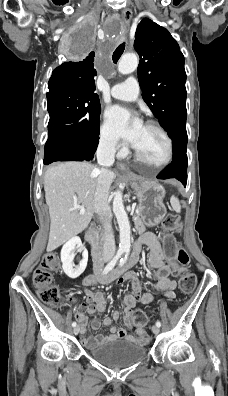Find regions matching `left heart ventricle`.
<instances>
[{"mask_svg": "<svg viewBox=\"0 0 228 396\" xmlns=\"http://www.w3.org/2000/svg\"><path fill=\"white\" fill-rule=\"evenodd\" d=\"M134 146L153 164L163 162L168 155V143L164 136L158 130L145 125L141 128Z\"/></svg>", "mask_w": 228, "mask_h": 396, "instance_id": "obj_1", "label": "left heart ventricle"}]
</instances>
